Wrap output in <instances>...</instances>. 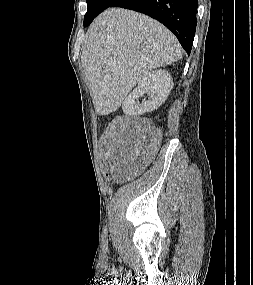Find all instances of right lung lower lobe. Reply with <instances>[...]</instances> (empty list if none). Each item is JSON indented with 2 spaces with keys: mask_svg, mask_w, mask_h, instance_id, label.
<instances>
[{
  "mask_svg": "<svg viewBox=\"0 0 253 285\" xmlns=\"http://www.w3.org/2000/svg\"><path fill=\"white\" fill-rule=\"evenodd\" d=\"M198 0H114L109 7H122L144 13L170 29L188 55L195 30Z\"/></svg>",
  "mask_w": 253,
  "mask_h": 285,
  "instance_id": "obj_1",
  "label": "right lung lower lobe"
}]
</instances>
